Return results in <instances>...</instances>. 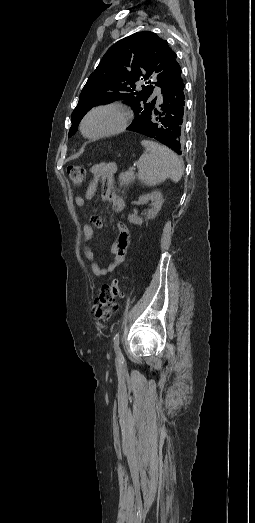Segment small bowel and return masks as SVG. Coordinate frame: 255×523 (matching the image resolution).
Segmentation results:
<instances>
[{"instance_id":"c3829d8e","label":"small bowel","mask_w":255,"mask_h":523,"mask_svg":"<svg viewBox=\"0 0 255 523\" xmlns=\"http://www.w3.org/2000/svg\"><path fill=\"white\" fill-rule=\"evenodd\" d=\"M111 172H114V166H107ZM98 168H93L92 173H96ZM95 196V186L91 184L84 197H77L75 199V204L78 207H83L85 201L88 199H93ZM104 198L108 200L112 209L115 212H121L124 209V201L114 192L112 179H108L104 187ZM93 226L102 229L104 224L103 220L96 215L91 216L90 223H85L82 226V235L84 240L83 252L86 259L90 262V268L94 276L104 277L112 273L117 267L122 265L125 260V254L129 245L130 234L127 226L123 223L117 225L118 228V237L116 241L111 246V253L113 254L114 260L108 267H101L95 260L93 250L91 249L90 242L94 235Z\"/></svg>"}]
</instances>
